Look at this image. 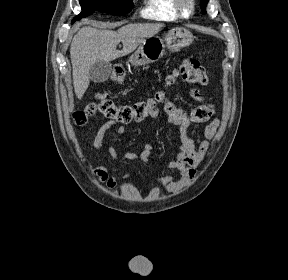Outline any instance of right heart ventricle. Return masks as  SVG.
Segmentation results:
<instances>
[{"instance_id": "right-heart-ventricle-1", "label": "right heart ventricle", "mask_w": 288, "mask_h": 280, "mask_svg": "<svg viewBox=\"0 0 288 280\" xmlns=\"http://www.w3.org/2000/svg\"><path fill=\"white\" fill-rule=\"evenodd\" d=\"M140 15L146 19L159 21H174L179 18L173 0H144Z\"/></svg>"}]
</instances>
